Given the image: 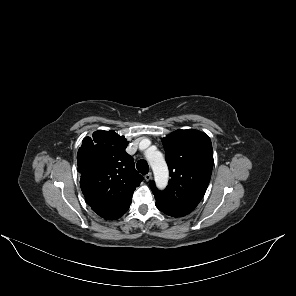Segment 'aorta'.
<instances>
[{"label": "aorta", "mask_w": 296, "mask_h": 296, "mask_svg": "<svg viewBox=\"0 0 296 296\" xmlns=\"http://www.w3.org/2000/svg\"><path fill=\"white\" fill-rule=\"evenodd\" d=\"M148 142L149 141L144 140L140 143V145L142 146ZM146 158L152 167L154 177H155L156 186L159 189H164L168 183L169 172H168V167H167V164L165 162V159H164L162 153L157 150H154L152 148H149L146 151Z\"/></svg>", "instance_id": "1"}]
</instances>
